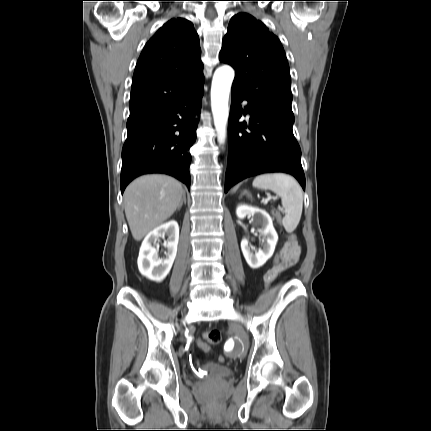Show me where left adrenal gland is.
<instances>
[{"mask_svg":"<svg viewBox=\"0 0 431 431\" xmlns=\"http://www.w3.org/2000/svg\"><path fill=\"white\" fill-rule=\"evenodd\" d=\"M242 195H246V196H248V197H249V193H248L246 190H244V191H243V193L241 194V196H240V197H242Z\"/></svg>","mask_w":431,"mask_h":431,"instance_id":"left-adrenal-gland-1","label":"left adrenal gland"}]
</instances>
